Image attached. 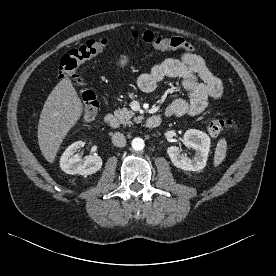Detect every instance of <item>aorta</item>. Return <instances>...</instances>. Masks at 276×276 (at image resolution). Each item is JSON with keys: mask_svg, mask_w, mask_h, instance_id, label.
<instances>
[{"mask_svg": "<svg viewBox=\"0 0 276 276\" xmlns=\"http://www.w3.org/2000/svg\"><path fill=\"white\" fill-rule=\"evenodd\" d=\"M131 145H132V148L135 150V151H141V150H143L144 149V147H145V142H144V140L142 139V138H134L133 140H132V143H131Z\"/></svg>", "mask_w": 276, "mask_h": 276, "instance_id": "762f6f07", "label": "aorta"}]
</instances>
